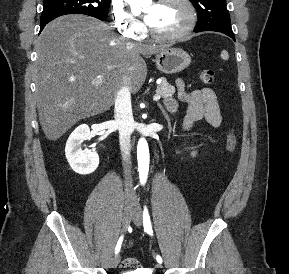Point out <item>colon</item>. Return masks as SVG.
I'll return each instance as SVG.
<instances>
[{
  "mask_svg": "<svg viewBox=\"0 0 289 274\" xmlns=\"http://www.w3.org/2000/svg\"><path fill=\"white\" fill-rule=\"evenodd\" d=\"M199 78L205 84H212L214 82L215 73L210 68H203L199 71ZM237 146V139L233 131H229L226 137V149L228 152L233 153ZM122 268L128 271H142L146 274H151L147 270L140 268V263L135 258H126L122 262Z\"/></svg>",
  "mask_w": 289,
  "mask_h": 274,
  "instance_id": "colon-1",
  "label": "colon"
}]
</instances>
